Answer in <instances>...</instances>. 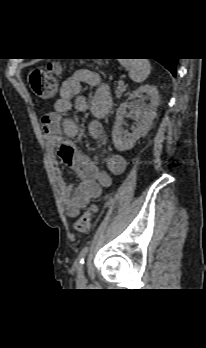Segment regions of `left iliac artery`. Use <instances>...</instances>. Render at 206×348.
I'll return each mask as SVG.
<instances>
[{"label": "left iliac artery", "mask_w": 206, "mask_h": 348, "mask_svg": "<svg viewBox=\"0 0 206 348\" xmlns=\"http://www.w3.org/2000/svg\"><path fill=\"white\" fill-rule=\"evenodd\" d=\"M110 205H112V200H107V202H105L104 209H102V214H107V210H109ZM88 251L89 247H84L79 253L78 258L76 260L75 266L80 272L82 271V267L85 262V258L88 254Z\"/></svg>", "instance_id": "44dca946"}]
</instances>
